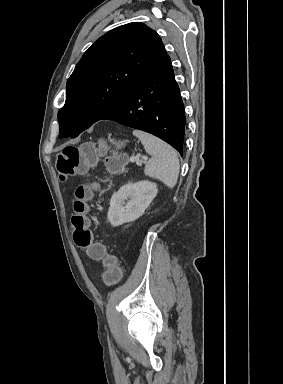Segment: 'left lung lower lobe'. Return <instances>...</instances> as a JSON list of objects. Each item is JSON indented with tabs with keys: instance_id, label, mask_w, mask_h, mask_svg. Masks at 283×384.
<instances>
[{
	"instance_id": "0a47b994",
	"label": "left lung lower lobe",
	"mask_w": 283,
	"mask_h": 384,
	"mask_svg": "<svg viewBox=\"0 0 283 384\" xmlns=\"http://www.w3.org/2000/svg\"><path fill=\"white\" fill-rule=\"evenodd\" d=\"M102 119L151 133L183 155L185 113L170 57L166 56Z\"/></svg>"
}]
</instances>
